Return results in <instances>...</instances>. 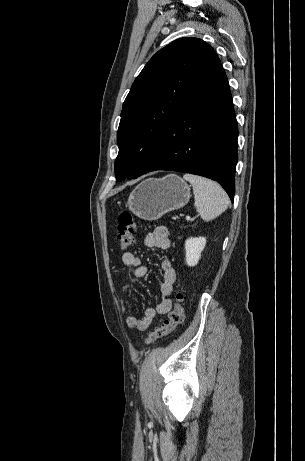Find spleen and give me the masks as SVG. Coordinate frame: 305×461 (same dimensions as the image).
Instances as JSON below:
<instances>
[{"instance_id": "1", "label": "spleen", "mask_w": 305, "mask_h": 461, "mask_svg": "<svg viewBox=\"0 0 305 461\" xmlns=\"http://www.w3.org/2000/svg\"><path fill=\"white\" fill-rule=\"evenodd\" d=\"M183 178L193 187L194 206L204 221L217 218L227 209L229 198L218 183L193 174H185Z\"/></svg>"}]
</instances>
